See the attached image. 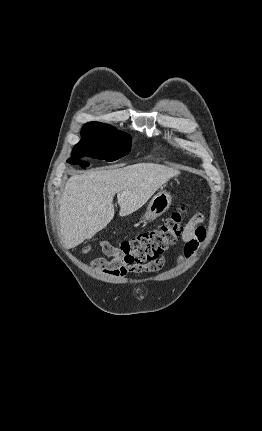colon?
Returning <instances> with one entry per match:
<instances>
[{
	"label": "colon",
	"instance_id": "1",
	"mask_svg": "<svg viewBox=\"0 0 262 431\" xmlns=\"http://www.w3.org/2000/svg\"><path fill=\"white\" fill-rule=\"evenodd\" d=\"M184 214V208H181L156 229L143 231L134 238L118 244L102 241L100 247L105 255L124 265L155 261L165 254L168 247L174 244L182 233ZM199 217L202 220V217Z\"/></svg>",
	"mask_w": 262,
	"mask_h": 431
}]
</instances>
